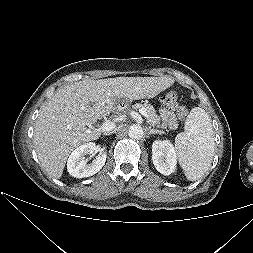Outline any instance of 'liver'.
Segmentation results:
<instances>
[{
	"mask_svg": "<svg viewBox=\"0 0 253 253\" xmlns=\"http://www.w3.org/2000/svg\"><path fill=\"white\" fill-rule=\"evenodd\" d=\"M174 83L170 77L83 80L59 88L39 110L33 144L42 168L60 179L69 154L101 136L90 126L108 116L118 100L153 98Z\"/></svg>",
	"mask_w": 253,
	"mask_h": 253,
	"instance_id": "6515ba94",
	"label": "liver"
}]
</instances>
